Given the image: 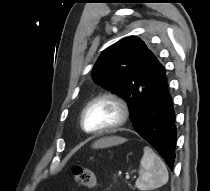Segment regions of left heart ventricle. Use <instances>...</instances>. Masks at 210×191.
I'll return each instance as SVG.
<instances>
[{"instance_id": "1", "label": "left heart ventricle", "mask_w": 210, "mask_h": 191, "mask_svg": "<svg viewBox=\"0 0 210 191\" xmlns=\"http://www.w3.org/2000/svg\"><path fill=\"white\" fill-rule=\"evenodd\" d=\"M119 115V110L115 104L110 101H99L87 109L84 125L87 130H98L117 122Z\"/></svg>"}]
</instances>
